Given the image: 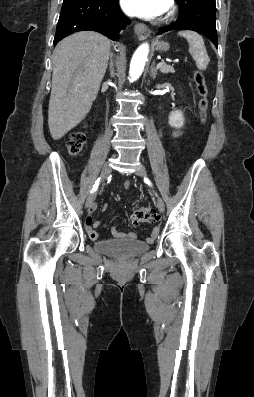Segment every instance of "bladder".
Returning a JSON list of instances; mask_svg holds the SVG:
<instances>
[{
    "mask_svg": "<svg viewBox=\"0 0 254 397\" xmlns=\"http://www.w3.org/2000/svg\"><path fill=\"white\" fill-rule=\"evenodd\" d=\"M148 244L138 239H123L117 241H99L94 248L106 255L116 258H130L148 250Z\"/></svg>",
    "mask_w": 254,
    "mask_h": 397,
    "instance_id": "31cf9c89",
    "label": "bladder"
}]
</instances>
